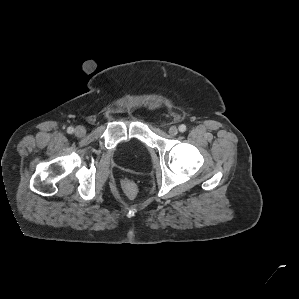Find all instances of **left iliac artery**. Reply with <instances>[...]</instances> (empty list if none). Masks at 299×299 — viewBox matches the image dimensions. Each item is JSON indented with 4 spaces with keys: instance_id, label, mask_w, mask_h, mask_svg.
<instances>
[{
    "instance_id": "left-iliac-artery-1",
    "label": "left iliac artery",
    "mask_w": 299,
    "mask_h": 299,
    "mask_svg": "<svg viewBox=\"0 0 299 299\" xmlns=\"http://www.w3.org/2000/svg\"><path fill=\"white\" fill-rule=\"evenodd\" d=\"M179 131L182 132V133L185 132L186 131V126L184 124H181L179 126Z\"/></svg>"
}]
</instances>
